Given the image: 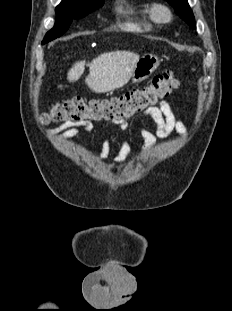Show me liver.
<instances>
[{
	"mask_svg": "<svg viewBox=\"0 0 232 311\" xmlns=\"http://www.w3.org/2000/svg\"><path fill=\"white\" fill-rule=\"evenodd\" d=\"M139 55L129 51H115L99 55L88 63L87 86L95 93H106L123 87L131 78ZM83 61L76 62L67 73L69 82L79 80L85 69Z\"/></svg>",
	"mask_w": 232,
	"mask_h": 311,
	"instance_id": "obj_1",
	"label": "liver"
}]
</instances>
